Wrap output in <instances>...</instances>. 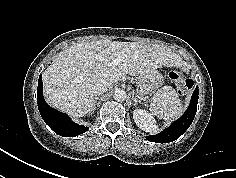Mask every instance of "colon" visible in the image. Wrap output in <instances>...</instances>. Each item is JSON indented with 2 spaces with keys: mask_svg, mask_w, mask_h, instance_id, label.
<instances>
[{
  "mask_svg": "<svg viewBox=\"0 0 236 178\" xmlns=\"http://www.w3.org/2000/svg\"><path fill=\"white\" fill-rule=\"evenodd\" d=\"M168 77L171 81L176 83L179 94H188L194 86L193 80L186 77V75L180 71H171Z\"/></svg>",
  "mask_w": 236,
  "mask_h": 178,
  "instance_id": "obj_1",
  "label": "colon"
}]
</instances>
